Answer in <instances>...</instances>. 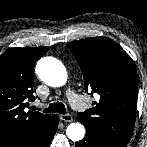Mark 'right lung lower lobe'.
Returning <instances> with one entry per match:
<instances>
[{
	"label": "right lung lower lobe",
	"instance_id": "1",
	"mask_svg": "<svg viewBox=\"0 0 147 147\" xmlns=\"http://www.w3.org/2000/svg\"><path fill=\"white\" fill-rule=\"evenodd\" d=\"M59 123L57 115H53L47 127L40 133L34 135L31 139L24 141L23 143L15 147H48L52 140Z\"/></svg>",
	"mask_w": 147,
	"mask_h": 147
}]
</instances>
